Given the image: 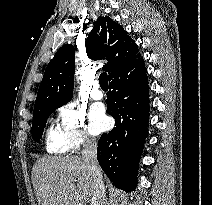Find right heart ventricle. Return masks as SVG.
<instances>
[{
    "label": "right heart ventricle",
    "instance_id": "right-heart-ventricle-1",
    "mask_svg": "<svg viewBox=\"0 0 212 205\" xmlns=\"http://www.w3.org/2000/svg\"><path fill=\"white\" fill-rule=\"evenodd\" d=\"M46 150L51 154H63L69 150L59 129L54 126H50L47 130Z\"/></svg>",
    "mask_w": 212,
    "mask_h": 205
}]
</instances>
